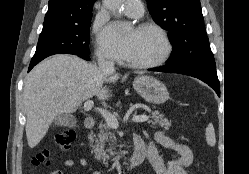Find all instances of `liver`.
Returning <instances> with one entry per match:
<instances>
[{"mask_svg": "<svg viewBox=\"0 0 249 174\" xmlns=\"http://www.w3.org/2000/svg\"><path fill=\"white\" fill-rule=\"evenodd\" d=\"M118 79L116 74H105L97 65L67 54L36 65L26 76L23 90L29 147L39 144L55 117L75 112L94 96L109 99L112 95L103 84Z\"/></svg>", "mask_w": 249, "mask_h": 174, "instance_id": "liver-1", "label": "liver"}]
</instances>
